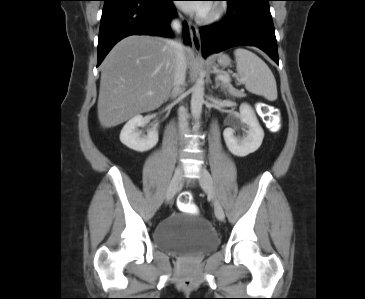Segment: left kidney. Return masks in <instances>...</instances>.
<instances>
[{
  "mask_svg": "<svg viewBox=\"0 0 365 299\" xmlns=\"http://www.w3.org/2000/svg\"><path fill=\"white\" fill-rule=\"evenodd\" d=\"M239 111L240 121L248 127L246 136H243L242 138L234 136L235 130L232 128H226L223 132V136L230 152L236 156L244 157L255 152L261 146L264 138V131L259 125L254 111L248 104L243 103L240 106Z\"/></svg>",
  "mask_w": 365,
  "mask_h": 299,
  "instance_id": "left-kidney-1",
  "label": "left kidney"
}]
</instances>
